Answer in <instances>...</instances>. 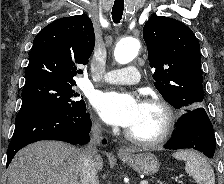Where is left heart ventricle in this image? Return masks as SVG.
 <instances>
[{
	"label": "left heart ventricle",
	"instance_id": "left-heart-ventricle-1",
	"mask_svg": "<svg viewBox=\"0 0 224 184\" xmlns=\"http://www.w3.org/2000/svg\"><path fill=\"white\" fill-rule=\"evenodd\" d=\"M163 122L161 109L142 104L136 122L128 130L139 138L151 139L160 133Z\"/></svg>",
	"mask_w": 224,
	"mask_h": 184
}]
</instances>
